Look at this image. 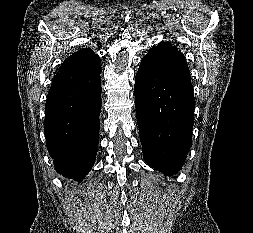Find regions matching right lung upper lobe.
<instances>
[{"mask_svg": "<svg viewBox=\"0 0 253 233\" xmlns=\"http://www.w3.org/2000/svg\"><path fill=\"white\" fill-rule=\"evenodd\" d=\"M100 63V58L89 48L80 49L70 55L60 66L59 71L86 70Z\"/></svg>", "mask_w": 253, "mask_h": 233, "instance_id": "right-lung-upper-lobe-1", "label": "right lung upper lobe"}]
</instances>
